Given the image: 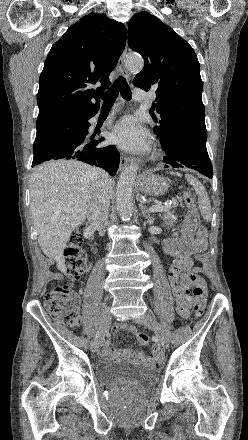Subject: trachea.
Masks as SVG:
<instances>
[{"instance_id": "1", "label": "trachea", "mask_w": 248, "mask_h": 440, "mask_svg": "<svg viewBox=\"0 0 248 440\" xmlns=\"http://www.w3.org/2000/svg\"><path fill=\"white\" fill-rule=\"evenodd\" d=\"M119 93H121L122 97L125 100H131L130 87L126 82V79L122 76H119V78L113 83L111 88L103 95H101V98L104 101L103 108L111 107L114 104Z\"/></svg>"}]
</instances>
